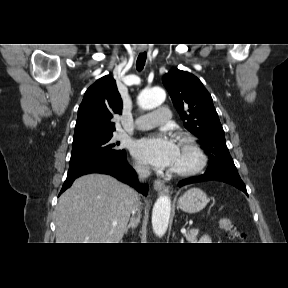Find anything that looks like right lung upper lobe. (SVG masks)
Listing matches in <instances>:
<instances>
[{
	"label": "right lung upper lobe",
	"instance_id": "cb5924a9",
	"mask_svg": "<svg viewBox=\"0 0 288 288\" xmlns=\"http://www.w3.org/2000/svg\"><path fill=\"white\" fill-rule=\"evenodd\" d=\"M122 100L114 78L106 75L91 85L78 109L73 145L113 135L114 114H121Z\"/></svg>",
	"mask_w": 288,
	"mask_h": 288
}]
</instances>
